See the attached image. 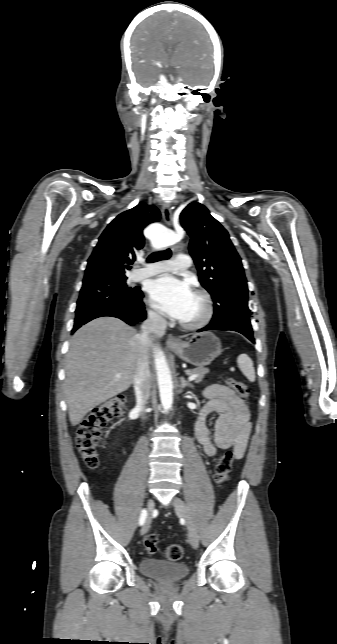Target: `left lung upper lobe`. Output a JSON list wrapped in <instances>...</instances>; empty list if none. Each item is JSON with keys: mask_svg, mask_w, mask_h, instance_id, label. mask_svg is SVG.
<instances>
[{"mask_svg": "<svg viewBox=\"0 0 337 644\" xmlns=\"http://www.w3.org/2000/svg\"><path fill=\"white\" fill-rule=\"evenodd\" d=\"M190 236L189 251L201 285L211 294V322L227 323L252 332L248 287L244 269L228 232L198 202L190 203L180 215Z\"/></svg>", "mask_w": 337, "mask_h": 644, "instance_id": "obj_1", "label": "left lung upper lobe"}]
</instances>
